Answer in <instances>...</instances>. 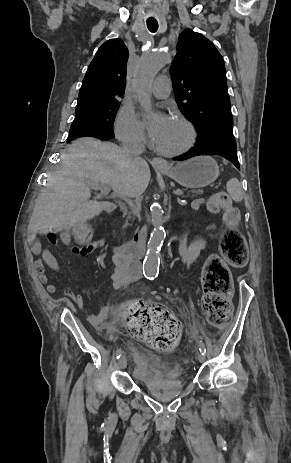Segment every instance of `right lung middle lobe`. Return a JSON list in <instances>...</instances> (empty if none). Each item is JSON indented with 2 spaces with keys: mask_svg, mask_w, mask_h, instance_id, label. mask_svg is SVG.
Segmentation results:
<instances>
[{
  "mask_svg": "<svg viewBox=\"0 0 291 463\" xmlns=\"http://www.w3.org/2000/svg\"><path fill=\"white\" fill-rule=\"evenodd\" d=\"M118 108L119 102H112L89 113L76 116L70 127L67 142L80 137L113 138V123Z\"/></svg>",
  "mask_w": 291,
  "mask_h": 463,
  "instance_id": "1",
  "label": "right lung middle lobe"
}]
</instances>
